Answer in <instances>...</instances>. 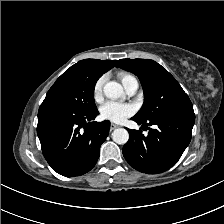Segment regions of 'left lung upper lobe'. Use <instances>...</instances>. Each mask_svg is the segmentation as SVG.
<instances>
[{
	"instance_id": "1",
	"label": "left lung upper lobe",
	"mask_w": 224,
	"mask_h": 224,
	"mask_svg": "<svg viewBox=\"0 0 224 224\" xmlns=\"http://www.w3.org/2000/svg\"><path fill=\"white\" fill-rule=\"evenodd\" d=\"M116 67L138 76L144 104L134 116L147 122L179 111H193V105L175 78L160 64L149 59H121Z\"/></svg>"
}]
</instances>
